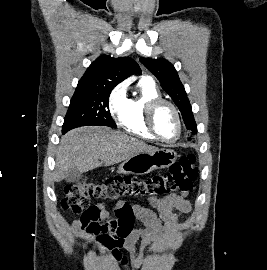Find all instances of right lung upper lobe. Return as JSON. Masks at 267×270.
Masks as SVG:
<instances>
[{
	"instance_id": "right-lung-upper-lobe-1",
	"label": "right lung upper lobe",
	"mask_w": 267,
	"mask_h": 270,
	"mask_svg": "<svg viewBox=\"0 0 267 270\" xmlns=\"http://www.w3.org/2000/svg\"><path fill=\"white\" fill-rule=\"evenodd\" d=\"M141 70L136 61L130 57L113 58L103 55L97 58L79 80L77 88L115 87Z\"/></svg>"
}]
</instances>
